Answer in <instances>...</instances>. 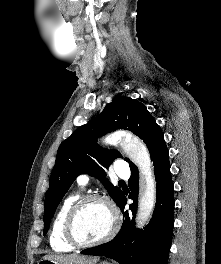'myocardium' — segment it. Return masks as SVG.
<instances>
[{"label":"myocardium","mask_w":221,"mask_h":264,"mask_svg":"<svg viewBox=\"0 0 221 264\" xmlns=\"http://www.w3.org/2000/svg\"><path fill=\"white\" fill-rule=\"evenodd\" d=\"M90 202L101 203L107 207L111 215V225L107 234L102 238L91 242H84L81 241L76 235L75 222L79 211L82 209L83 206H85L87 203ZM118 228H119V215L112 202L109 199L102 197L100 195L90 194L80 197L69 208L65 217L63 231L67 242L73 247L89 248V247L102 245L110 241L116 235Z\"/></svg>","instance_id":"myocardium-1"}]
</instances>
